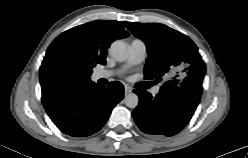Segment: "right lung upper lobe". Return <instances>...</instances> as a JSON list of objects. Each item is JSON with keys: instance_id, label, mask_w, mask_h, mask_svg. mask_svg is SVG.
<instances>
[{"instance_id": "obj_1", "label": "right lung upper lobe", "mask_w": 248, "mask_h": 158, "mask_svg": "<svg viewBox=\"0 0 248 158\" xmlns=\"http://www.w3.org/2000/svg\"><path fill=\"white\" fill-rule=\"evenodd\" d=\"M128 35L122 22L112 20H96L60 34L49 46L40 67L42 97L92 82V68L96 64L105 65L106 50L111 42ZM62 54H70L76 60L75 67L66 74L57 67Z\"/></svg>"}]
</instances>
